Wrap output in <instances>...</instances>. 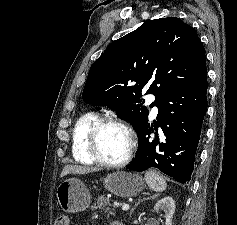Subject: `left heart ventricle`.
Masks as SVG:
<instances>
[{
  "label": "left heart ventricle",
  "instance_id": "left-heart-ventricle-1",
  "mask_svg": "<svg viewBox=\"0 0 237 225\" xmlns=\"http://www.w3.org/2000/svg\"><path fill=\"white\" fill-rule=\"evenodd\" d=\"M98 146L103 158L112 162L120 161L127 154L129 138L122 128L107 125L99 132Z\"/></svg>",
  "mask_w": 237,
  "mask_h": 225
}]
</instances>
